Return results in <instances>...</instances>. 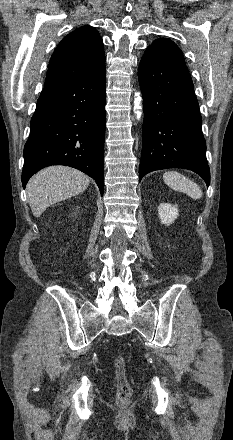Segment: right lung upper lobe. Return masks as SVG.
<instances>
[{
	"mask_svg": "<svg viewBox=\"0 0 233 440\" xmlns=\"http://www.w3.org/2000/svg\"><path fill=\"white\" fill-rule=\"evenodd\" d=\"M104 68L103 41L96 29L84 26L68 34L53 52L45 87L80 81Z\"/></svg>",
	"mask_w": 233,
	"mask_h": 440,
	"instance_id": "right-lung-upper-lobe-1",
	"label": "right lung upper lobe"
}]
</instances>
